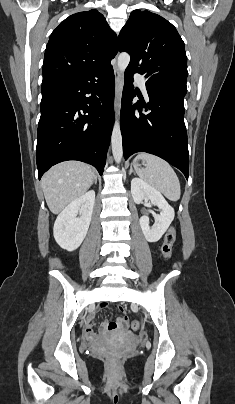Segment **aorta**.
I'll list each match as a JSON object with an SVG mask.
<instances>
[{
    "instance_id": "aorta-1",
    "label": "aorta",
    "mask_w": 235,
    "mask_h": 404,
    "mask_svg": "<svg viewBox=\"0 0 235 404\" xmlns=\"http://www.w3.org/2000/svg\"><path fill=\"white\" fill-rule=\"evenodd\" d=\"M130 62V56L128 53H121L118 57L117 66L120 73H124L128 64ZM112 153L116 163H120L123 156V148H122V135L120 130V124L118 120H115L112 137Z\"/></svg>"
}]
</instances>
